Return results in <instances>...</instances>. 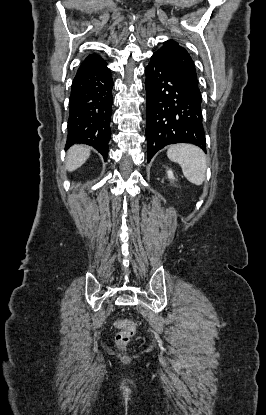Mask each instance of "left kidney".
Returning a JSON list of instances; mask_svg holds the SVG:
<instances>
[{
    "label": "left kidney",
    "instance_id": "1",
    "mask_svg": "<svg viewBox=\"0 0 266 415\" xmlns=\"http://www.w3.org/2000/svg\"><path fill=\"white\" fill-rule=\"evenodd\" d=\"M167 174H168V178H169V179H174V176H173V172H172V170H168V171H167Z\"/></svg>",
    "mask_w": 266,
    "mask_h": 415
}]
</instances>
